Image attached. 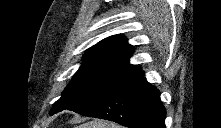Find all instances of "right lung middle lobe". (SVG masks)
Here are the masks:
<instances>
[{
  "instance_id": "obj_1",
  "label": "right lung middle lobe",
  "mask_w": 221,
  "mask_h": 128,
  "mask_svg": "<svg viewBox=\"0 0 221 128\" xmlns=\"http://www.w3.org/2000/svg\"><path fill=\"white\" fill-rule=\"evenodd\" d=\"M126 78L96 70H78L61 98L53 105L50 115L93 101L115 88Z\"/></svg>"
}]
</instances>
